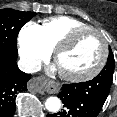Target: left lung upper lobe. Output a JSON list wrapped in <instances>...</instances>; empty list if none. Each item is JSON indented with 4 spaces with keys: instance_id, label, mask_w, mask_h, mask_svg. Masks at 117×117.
I'll return each instance as SVG.
<instances>
[{
    "instance_id": "obj_1",
    "label": "left lung upper lobe",
    "mask_w": 117,
    "mask_h": 117,
    "mask_svg": "<svg viewBox=\"0 0 117 117\" xmlns=\"http://www.w3.org/2000/svg\"><path fill=\"white\" fill-rule=\"evenodd\" d=\"M114 63H115V61H114V56H113V54H112L111 48L109 47V57H108V61H107L106 65H105V67L103 68V70L106 69L107 72H108V74H110L109 77H110V81H111V82H112L113 72H114ZM103 70H102V71H103ZM102 71L100 72L99 75H103Z\"/></svg>"
}]
</instances>
